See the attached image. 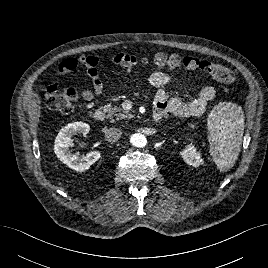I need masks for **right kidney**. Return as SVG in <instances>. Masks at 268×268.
<instances>
[{
	"mask_svg": "<svg viewBox=\"0 0 268 268\" xmlns=\"http://www.w3.org/2000/svg\"><path fill=\"white\" fill-rule=\"evenodd\" d=\"M89 130L90 126L87 123L74 122L62 128L55 138L54 151L58 159L77 172L88 170L101 157L98 151L89 152L85 156H79L78 153H71L69 150L72 144V136L77 134L86 135Z\"/></svg>",
	"mask_w": 268,
	"mask_h": 268,
	"instance_id": "obj_1",
	"label": "right kidney"
}]
</instances>
